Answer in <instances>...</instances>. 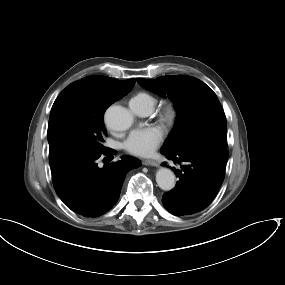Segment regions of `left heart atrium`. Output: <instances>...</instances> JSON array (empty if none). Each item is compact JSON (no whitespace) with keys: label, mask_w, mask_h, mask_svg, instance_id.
<instances>
[{"label":"left heart atrium","mask_w":285,"mask_h":285,"mask_svg":"<svg viewBox=\"0 0 285 285\" xmlns=\"http://www.w3.org/2000/svg\"><path fill=\"white\" fill-rule=\"evenodd\" d=\"M164 139V131L159 126L136 128L130 132L123 143L124 149L138 157L154 153Z\"/></svg>","instance_id":"left-heart-atrium-1"}]
</instances>
